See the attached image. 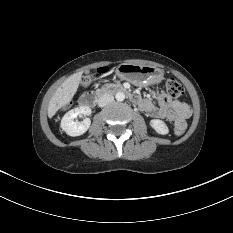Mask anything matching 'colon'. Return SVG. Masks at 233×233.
<instances>
[{
	"label": "colon",
	"instance_id": "5ec220e1",
	"mask_svg": "<svg viewBox=\"0 0 233 233\" xmlns=\"http://www.w3.org/2000/svg\"><path fill=\"white\" fill-rule=\"evenodd\" d=\"M107 71L106 68H101L99 69L100 73H105ZM92 83V78L91 77H87L84 80V85L88 86ZM166 92L167 94L172 97V98H177L180 97L184 94V88L181 85V83L179 81H177L175 78H169L166 82ZM185 129H183L182 127H175V133L177 135H181L184 132Z\"/></svg>",
	"mask_w": 233,
	"mask_h": 233
}]
</instances>
